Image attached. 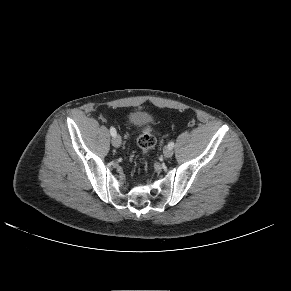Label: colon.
<instances>
[{
	"label": "colon",
	"instance_id": "colon-1",
	"mask_svg": "<svg viewBox=\"0 0 291 291\" xmlns=\"http://www.w3.org/2000/svg\"><path fill=\"white\" fill-rule=\"evenodd\" d=\"M155 143H156V139L154 135L152 134L150 127L148 126L144 127L141 134L139 135L137 139V144L140 147V149L144 153H146L154 147Z\"/></svg>",
	"mask_w": 291,
	"mask_h": 291
}]
</instances>
